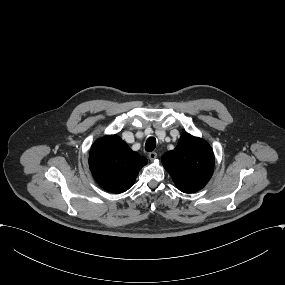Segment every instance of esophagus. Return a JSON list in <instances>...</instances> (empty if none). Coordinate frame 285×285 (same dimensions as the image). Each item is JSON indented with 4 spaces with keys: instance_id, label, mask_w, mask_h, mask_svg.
Listing matches in <instances>:
<instances>
[{
    "instance_id": "1",
    "label": "esophagus",
    "mask_w": 285,
    "mask_h": 285,
    "mask_svg": "<svg viewBox=\"0 0 285 285\" xmlns=\"http://www.w3.org/2000/svg\"><path fill=\"white\" fill-rule=\"evenodd\" d=\"M148 157L151 161H153L157 157V153L156 152H150L148 154Z\"/></svg>"
}]
</instances>
